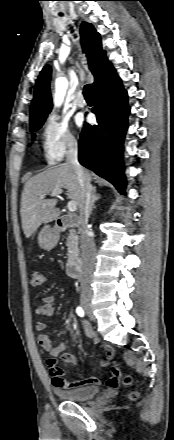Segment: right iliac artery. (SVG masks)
I'll return each mask as SVG.
<instances>
[{
  "instance_id": "1",
  "label": "right iliac artery",
  "mask_w": 174,
  "mask_h": 440,
  "mask_svg": "<svg viewBox=\"0 0 174 440\" xmlns=\"http://www.w3.org/2000/svg\"><path fill=\"white\" fill-rule=\"evenodd\" d=\"M76 312L80 317H83L85 314L84 310L81 307H77Z\"/></svg>"
}]
</instances>
